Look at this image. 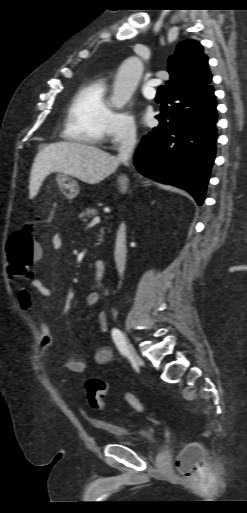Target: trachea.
Returning a JSON list of instances; mask_svg holds the SVG:
<instances>
[{"label": "trachea", "mask_w": 247, "mask_h": 513, "mask_svg": "<svg viewBox=\"0 0 247 513\" xmlns=\"http://www.w3.org/2000/svg\"><path fill=\"white\" fill-rule=\"evenodd\" d=\"M164 90H165V86H163V85H162V86H160V87L158 88V94H163Z\"/></svg>", "instance_id": "obj_1"}]
</instances>
